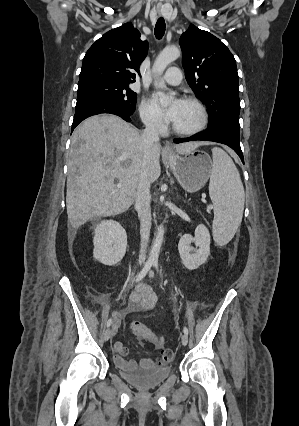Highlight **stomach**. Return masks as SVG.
I'll use <instances>...</instances> for the list:
<instances>
[{"instance_id": "stomach-1", "label": "stomach", "mask_w": 299, "mask_h": 426, "mask_svg": "<svg viewBox=\"0 0 299 426\" xmlns=\"http://www.w3.org/2000/svg\"><path fill=\"white\" fill-rule=\"evenodd\" d=\"M166 159L174 176L187 192L200 190L211 176L213 163L203 151L195 149L184 156L172 153L166 155Z\"/></svg>"}]
</instances>
